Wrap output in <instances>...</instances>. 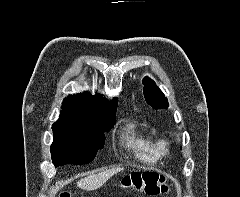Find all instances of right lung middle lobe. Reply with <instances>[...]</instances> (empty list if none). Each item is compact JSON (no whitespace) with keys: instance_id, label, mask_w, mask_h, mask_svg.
I'll return each instance as SVG.
<instances>
[{"instance_id":"dd1d6c3e","label":"right lung middle lobe","mask_w":240,"mask_h":197,"mask_svg":"<svg viewBox=\"0 0 240 197\" xmlns=\"http://www.w3.org/2000/svg\"><path fill=\"white\" fill-rule=\"evenodd\" d=\"M114 122L84 127L53 124L54 141L51 145L53 164L63 166L91 162L96 156L97 150L103 148L104 132L109 131Z\"/></svg>"}]
</instances>
